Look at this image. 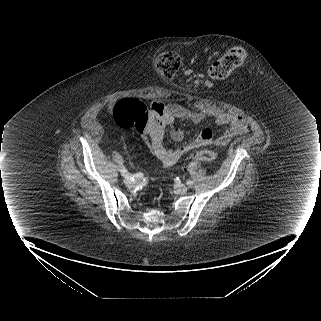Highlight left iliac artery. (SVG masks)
I'll return each instance as SVG.
<instances>
[{
  "instance_id": "left-iliac-artery-1",
  "label": "left iliac artery",
  "mask_w": 321,
  "mask_h": 321,
  "mask_svg": "<svg viewBox=\"0 0 321 321\" xmlns=\"http://www.w3.org/2000/svg\"><path fill=\"white\" fill-rule=\"evenodd\" d=\"M186 184H187L189 187H191V186H193V181H192V180H187Z\"/></svg>"
}]
</instances>
